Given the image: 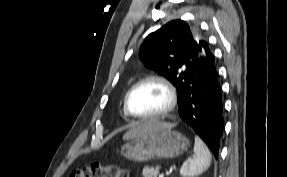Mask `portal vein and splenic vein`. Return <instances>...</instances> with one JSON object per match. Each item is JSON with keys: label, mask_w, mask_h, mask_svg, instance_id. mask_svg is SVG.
<instances>
[{"label": "portal vein and splenic vein", "mask_w": 287, "mask_h": 177, "mask_svg": "<svg viewBox=\"0 0 287 177\" xmlns=\"http://www.w3.org/2000/svg\"><path fill=\"white\" fill-rule=\"evenodd\" d=\"M159 177H164V174H160Z\"/></svg>", "instance_id": "18ae733b"}]
</instances>
